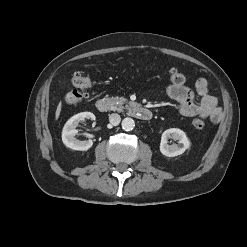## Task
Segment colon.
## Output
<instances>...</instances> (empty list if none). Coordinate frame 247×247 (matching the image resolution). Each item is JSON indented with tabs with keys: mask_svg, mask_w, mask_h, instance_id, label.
Instances as JSON below:
<instances>
[{
	"mask_svg": "<svg viewBox=\"0 0 247 247\" xmlns=\"http://www.w3.org/2000/svg\"><path fill=\"white\" fill-rule=\"evenodd\" d=\"M169 80L174 85H183L185 83V76L178 71H172ZM91 86L92 82L89 77L80 72L75 73L72 78V89L64 94L65 101L69 104L80 103L88 96ZM192 124L197 130H201L205 126L204 121L200 118H195Z\"/></svg>",
	"mask_w": 247,
	"mask_h": 247,
	"instance_id": "obj_1",
	"label": "colon"
}]
</instances>
